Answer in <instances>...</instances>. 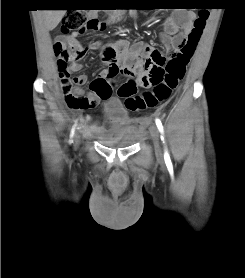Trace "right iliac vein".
<instances>
[{
    "instance_id": "63e3f726",
    "label": "right iliac vein",
    "mask_w": 245,
    "mask_h": 278,
    "mask_svg": "<svg viewBox=\"0 0 245 278\" xmlns=\"http://www.w3.org/2000/svg\"><path fill=\"white\" fill-rule=\"evenodd\" d=\"M75 142H76L77 145H79V143H80V135L76 136Z\"/></svg>"
}]
</instances>
